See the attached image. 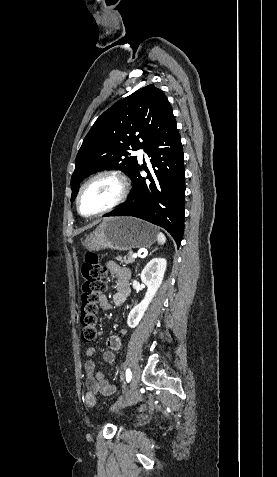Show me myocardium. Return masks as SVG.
<instances>
[{
	"label": "myocardium",
	"instance_id": "f54148a6",
	"mask_svg": "<svg viewBox=\"0 0 277 477\" xmlns=\"http://www.w3.org/2000/svg\"><path fill=\"white\" fill-rule=\"evenodd\" d=\"M104 177L112 178L115 181H117V183L119 185V194H118L117 198L110 205H108L107 207L103 208L102 210H100L98 212H95V213H92V214L83 213L82 210H81L80 202H81V197H82L85 189L91 183H93L94 181H96L100 178H104ZM128 195H129V183H128L126 177L122 173H120L118 171H115V170L100 171V172L92 175L90 178H88L82 184V186L80 187V189L78 191V194H77V197H76V209H77L78 213L83 217L102 216L104 214H107V213L115 210L120 205H122L126 201Z\"/></svg>",
	"mask_w": 277,
	"mask_h": 477
}]
</instances>
